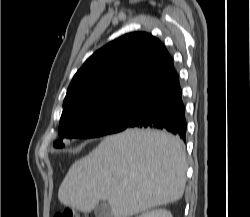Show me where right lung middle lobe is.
Listing matches in <instances>:
<instances>
[{
    "mask_svg": "<svg viewBox=\"0 0 250 217\" xmlns=\"http://www.w3.org/2000/svg\"><path fill=\"white\" fill-rule=\"evenodd\" d=\"M136 106L137 100H131L80 112L60 122V140L54 147L62 148L64 139L97 138L123 131L131 122Z\"/></svg>",
    "mask_w": 250,
    "mask_h": 217,
    "instance_id": "dd1d6c3e",
    "label": "right lung middle lobe"
}]
</instances>
